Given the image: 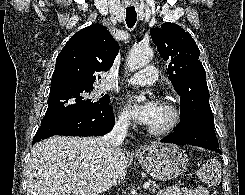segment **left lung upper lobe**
<instances>
[{"mask_svg":"<svg viewBox=\"0 0 245 195\" xmlns=\"http://www.w3.org/2000/svg\"><path fill=\"white\" fill-rule=\"evenodd\" d=\"M150 34L161 58L167 62V74L180 95L182 121L201 119L214 123L206 72L198 60L200 51L194 39L174 23L152 28Z\"/></svg>","mask_w":245,"mask_h":195,"instance_id":"left-lung-upper-lobe-1","label":"left lung upper lobe"}]
</instances>
